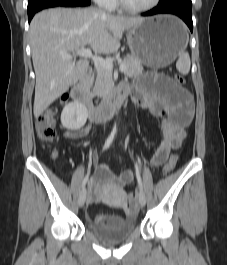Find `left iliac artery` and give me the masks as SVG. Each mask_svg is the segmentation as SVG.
<instances>
[{
  "label": "left iliac artery",
  "instance_id": "44dca946",
  "mask_svg": "<svg viewBox=\"0 0 227 265\" xmlns=\"http://www.w3.org/2000/svg\"><path fill=\"white\" fill-rule=\"evenodd\" d=\"M135 169H136V178H137L139 187L142 189V180H141V176H140V172H139V167H138L137 163L135 164Z\"/></svg>",
  "mask_w": 227,
  "mask_h": 265
}]
</instances>
